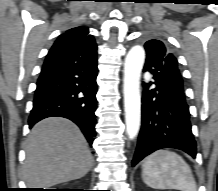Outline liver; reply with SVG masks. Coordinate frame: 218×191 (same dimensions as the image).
I'll use <instances>...</instances> for the list:
<instances>
[{
    "mask_svg": "<svg viewBox=\"0 0 218 191\" xmlns=\"http://www.w3.org/2000/svg\"><path fill=\"white\" fill-rule=\"evenodd\" d=\"M24 180L30 188H46L85 176L93 165L86 139L64 118L37 123L26 140Z\"/></svg>",
    "mask_w": 218,
    "mask_h": 191,
    "instance_id": "obj_1",
    "label": "liver"
}]
</instances>
